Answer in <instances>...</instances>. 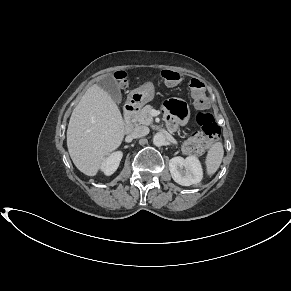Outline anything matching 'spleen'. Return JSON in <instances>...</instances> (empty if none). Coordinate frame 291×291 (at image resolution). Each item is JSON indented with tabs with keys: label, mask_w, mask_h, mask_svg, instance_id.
<instances>
[{
	"label": "spleen",
	"mask_w": 291,
	"mask_h": 291,
	"mask_svg": "<svg viewBox=\"0 0 291 291\" xmlns=\"http://www.w3.org/2000/svg\"><path fill=\"white\" fill-rule=\"evenodd\" d=\"M224 156V149L221 142L214 143L210 149L208 150L205 164H206V171L208 175H213L222 162Z\"/></svg>",
	"instance_id": "1"
}]
</instances>
